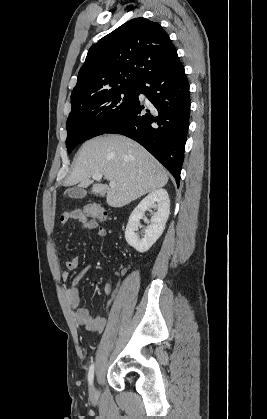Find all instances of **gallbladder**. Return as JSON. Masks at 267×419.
Here are the masks:
<instances>
[{
    "label": "gallbladder",
    "instance_id": "obj_1",
    "mask_svg": "<svg viewBox=\"0 0 267 419\" xmlns=\"http://www.w3.org/2000/svg\"><path fill=\"white\" fill-rule=\"evenodd\" d=\"M68 195L71 198H79V199H81V198H84L85 197L86 192L82 188L78 187V188L69 189L68 190Z\"/></svg>",
    "mask_w": 267,
    "mask_h": 419
}]
</instances>
